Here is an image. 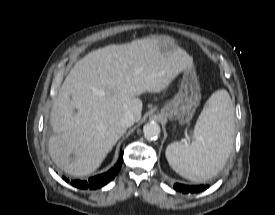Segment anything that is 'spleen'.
<instances>
[{"label":"spleen","mask_w":275,"mask_h":215,"mask_svg":"<svg viewBox=\"0 0 275 215\" xmlns=\"http://www.w3.org/2000/svg\"><path fill=\"white\" fill-rule=\"evenodd\" d=\"M234 108L226 90L207 100L194 128L191 145L175 142L166 149L172 169L182 177L203 182L224 167L234 141Z\"/></svg>","instance_id":"1"}]
</instances>
